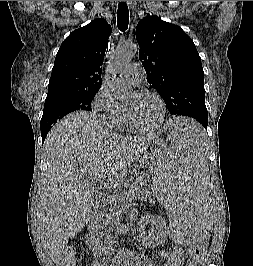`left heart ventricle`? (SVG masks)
I'll use <instances>...</instances> for the list:
<instances>
[{
	"instance_id": "1",
	"label": "left heart ventricle",
	"mask_w": 253,
	"mask_h": 266,
	"mask_svg": "<svg viewBox=\"0 0 253 266\" xmlns=\"http://www.w3.org/2000/svg\"><path fill=\"white\" fill-rule=\"evenodd\" d=\"M125 108L133 115L135 121L143 127L153 125L160 116V105L157 99L149 94L138 95L132 92L125 102Z\"/></svg>"
}]
</instances>
